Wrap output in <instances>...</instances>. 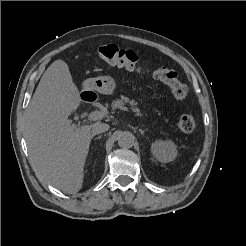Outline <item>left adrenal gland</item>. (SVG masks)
<instances>
[{
  "instance_id": "obj_1",
  "label": "left adrenal gland",
  "mask_w": 246,
  "mask_h": 246,
  "mask_svg": "<svg viewBox=\"0 0 246 246\" xmlns=\"http://www.w3.org/2000/svg\"><path fill=\"white\" fill-rule=\"evenodd\" d=\"M144 131L145 130L139 129V132L141 133V135H144Z\"/></svg>"
}]
</instances>
